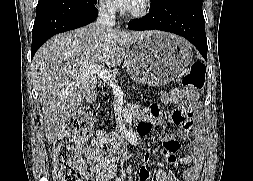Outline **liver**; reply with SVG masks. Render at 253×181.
<instances>
[{
  "label": "liver",
  "mask_w": 253,
  "mask_h": 181,
  "mask_svg": "<svg viewBox=\"0 0 253 181\" xmlns=\"http://www.w3.org/2000/svg\"><path fill=\"white\" fill-rule=\"evenodd\" d=\"M152 31H125L103 28L96 23L60 33L48 40L32 60V80L39 95L48 144L78 110L93 96L97 76H83L89 66H119L124 47L136 43Z\"/></svg>",
  "instance_id": "liver-1"
}]
</instances>
